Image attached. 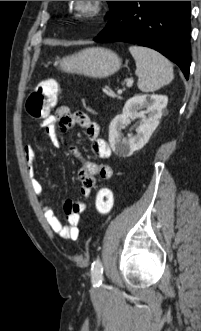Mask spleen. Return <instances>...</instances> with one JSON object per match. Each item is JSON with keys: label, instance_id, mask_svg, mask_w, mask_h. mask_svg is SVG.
I'll use <instances>...</instances> for the list:
<instances>
[{"label": "spleen", "instance_id": "1", "mask_svg": "<svg viewBox=\"0 0 201 331\" xmlns=\"http://www.w3.org/2000/svg\"><path fill=\"white\" fill-rule=\"evenodd\" d=\"M129 51L136 62L137 85L142 92H154L173 80V66L159 52L137 45L130 46Z\"/></svg>", "mask_w": 201, "mask_h": 331}]
</instances>
